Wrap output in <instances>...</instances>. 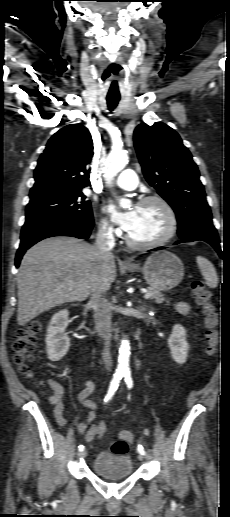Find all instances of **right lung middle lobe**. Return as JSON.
I'll use <instances>...</instances> for the list:
<instances>
[{"mask_svg":"<svg viewBox=\"0 0 230 517\" xmlns=\"http://www.w3.org/2000/svg\"><path fill=\"white\" fill-rule=\"evenodd\" d=\"M47 216L93 219L91 204L86 200L82 190L30 200L26 208V220Z\"/></svg>","mask_w":230,"mask_h":517,"instance_id":"obj_1","label":"right lung middle lobe"}]
</instances>
